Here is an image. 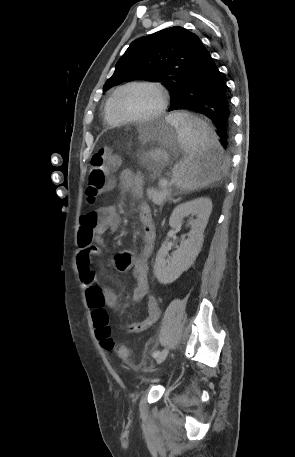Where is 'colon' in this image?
Segmentation results:
<instances>
[{
  "label": "colon",
  "mask_w": 295,
  "mask_h": 457,
  "mask_svg": "<svg viewBox=\"0 0 295 457\" xmlns=\"http://www.w3.org/2000/svg\"><path fill=\"white\" fill-rule=\"evenodd\" d=\"M119 162V157L106 146L93 154L86 188V195L90 202L113 186L112 173L118 167ZM91 306L93 324L96 336L100 341V349L111 352L114 360H129V349L110 338L109 316L103 307L104 304L92 299Z\"/></svg>",
  "instance_id": "5ec220e1"
}]
</instances>
